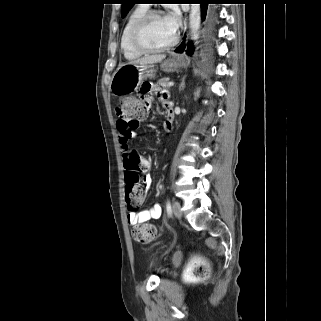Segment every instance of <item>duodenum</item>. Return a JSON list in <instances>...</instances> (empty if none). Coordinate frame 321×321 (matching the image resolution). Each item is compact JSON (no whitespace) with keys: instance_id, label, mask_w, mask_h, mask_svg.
I'll return each mask as SVG.
<instances>
[{"instance_id":"1","label":"duodenum","mask_w":321,"mask_h":321,"mask_svg":"<svg viewBox=\"0 0 321 321\" xmlns=\"http://www.w3.org/2000/svg\"><path fill=\"white\" fill-rule=\"evenodd\" d=\"M167 119H168V121H169L170 123H172V121H173V112H168V114H167Z\"/></svg>"}]
</instances>
